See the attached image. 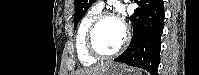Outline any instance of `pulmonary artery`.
Here are the masks:
<instances>
[{
    "mask_svg": "<svg viewBox=\"0 0 199 75\" xmlns=\"http://www.w3.org/2000/svg\"><path fill=\"white\" fill-rule=\"evenodd\" d=\"M103 5H104L103 1H98L95 6L98 7V8H100V9H102Z\"/></svg>",
    "mask_w": 199,
    "mask_h": 75,
    "instance_id": "pulmonary-artery-1",
    "label": "pulmonary artery"
}]
</instances>
